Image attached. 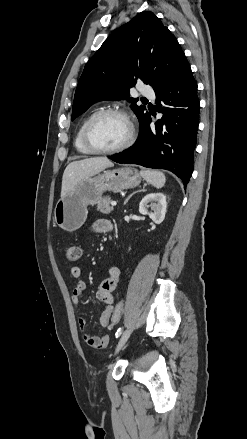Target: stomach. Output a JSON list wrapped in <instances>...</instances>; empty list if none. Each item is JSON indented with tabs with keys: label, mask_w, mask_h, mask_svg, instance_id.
Segmentation results:
<instances>
[{
	"label": "stomach",
	"mask_w": 247,
	"mask_h": 439,
	"mask_svg": "<svg viewBox=\"0 0 247 439\" xmlns=\"http://www.w3.org/2000/svg\"><path fill=\"white\" fill-rule=\"evenodd\" d=\"M140 182V174L132 167L103 170L102 173L83 179L58 200L54 209V221L65 231H76L87 218V206L97 204L104 192L133 188Z\"/></svg>",
	"instance_id": "stomach-1"
}]
</instances>
